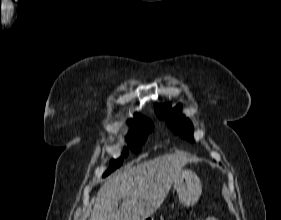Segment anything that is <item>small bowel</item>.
I'll return each mask as SVG.
<instances>
[{
  "instance_id": "c3829d8e",
  "label": "small bowel",
  "mask_w": 281,
  "mask_h": 220,
  "mask_svg": "<svg viewBox=\"0 0 281 220\" xmlns=\"http://www.w3.org/2000/svg\"><path fill=\"white\" fill-rule=\"evenodd\" d=\"M204 220H218L217 218H215V217H207L206 219H204Z\"/></svg>"
}]
</instances>
